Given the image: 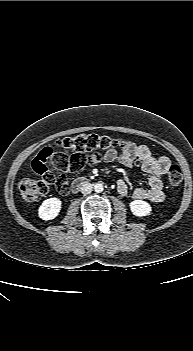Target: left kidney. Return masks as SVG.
<instances>
[{
    "label": "left kidney",
    "instance_id": "1",
    "mask_svg": "<svg viewBox=\"0 0 193 351\" xmlns=\"http://www.w3.org/2000/svg\"><path fill=\"white\" fill-rule=\"evenodd\" d=\"M129 206L131 212L138 217L147 216L152 211L150 204L143 200H134Z\"/></svg>",
    "mask_w": 193,
    "mask_h": 351
}]
</instances>
